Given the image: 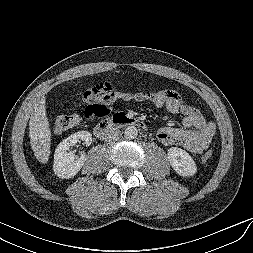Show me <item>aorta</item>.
<instances>
[{
	"label": "aorta",
	"instance_id": "obj_1",
	"mask_svg": "<svg viewBox=\"0 0 253 253\" xmlns=\"http://www.w3.org/2000/svg\"><path fill=\"white\" fill-rule=\"evenodd\" d=\"M125 137L128 138V139H134L137 137L138 135V130L135 126L131 125V126H128L126 129H125Z\"/></svg>",
	"mask_w": 253,
	"mask_h": 253
}]
</instances>
